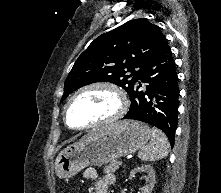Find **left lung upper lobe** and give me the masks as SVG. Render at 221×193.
Listing matches in <instances>:
<instances>
[{"mask_svg":"<svg viewBox=\"0 0 221 193\" xmlns=\"http://www.w3.org/2000/svg\"><path fill=\"white\" fill-rule=\"evenodd\" d=\"M166 44L159 26L146 18L131 20L100 35L76 60L61 101L80 87L103 81L121 86L131 95L144 66Z\"/></svg>","mask_w":221,"mask_h":193,"instance_id":"left-lung-upper-lobe-1","label":"left lung upper lobe"}]
</instances>
